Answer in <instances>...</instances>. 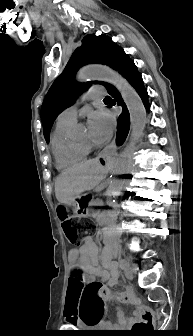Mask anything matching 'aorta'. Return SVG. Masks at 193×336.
<instances>
[{"instance_id": "762f6f07", "label": "aorta", "mask_w": 193, "mask_h": 336, "mask_svg": "<svg viewBox=\"0 0 193 336\" xmlns=\"http://www.w3.org/2000/svg\"><path fill=\"white\" fill-rule=\"evenodd\" d=\"M77 79L81 82L91 79L103 80L113 84L127 106L131 121V140L121 153L113 168V177L109 184V195L111 206L117 205L116 198L121 195L124 186L123 176L126 175L132 166L133 154L136 143L143 136L146 126V110L141 98L135 89L116 71L104 65H89L81 68Z\"/></svg>"}]
</instances>
